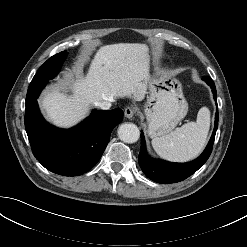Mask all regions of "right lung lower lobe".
<instances>
[{"instance_id":"1","label":"right lung lower lobe","mask_w":247,"mask_h":247,"mask_svg":"<svg viewBox=\"0 0 247 247\" xmlns=\"http://www.w3.org/2000/svg\"><path fill=\"white\" fill-rule=\"evenodd\" d=\"M45 85H30L26 96L25 128L32 152L53 173L84 174L101 158L112 129L123 120V111L94 110L78 126L58 129L44 120L38 108L37 98Z\"/></svg>"}]
</instances>
